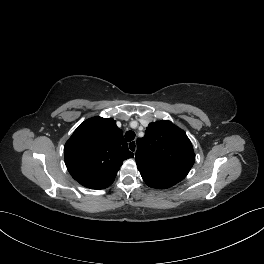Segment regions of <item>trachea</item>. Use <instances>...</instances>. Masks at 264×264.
<instances>
[{"label":"trachea","instance_id":"obj_1","mask_svg":"<svg viewBox=\"0 0 264 264\" xmlns=\"http://www.w3.org/2000/svg\"><path fill=\"white\" fill-rule=\"evenodd\" d=\"M135 138V133L133 131H127L125 133V139L127 142L132 141Z\"/></svg>","mask_w":264,"mask_h":264}]
</instances>
